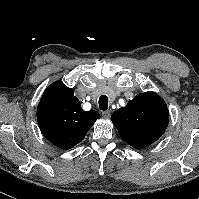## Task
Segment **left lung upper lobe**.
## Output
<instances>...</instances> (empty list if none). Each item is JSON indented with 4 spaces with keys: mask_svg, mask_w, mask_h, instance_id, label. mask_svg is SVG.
<instances>
[{
    "mask_svg": "<svg viewBox=\"0 0 199 199\" xmlns=\"http://www.w3.org/2000/svg\"><path fill=\"white\" fill-rule=\"evenodd\" d=\"M111 120L123 140L150 145L165 132L169 111L158 94L145 92L136 95L126 107L114 111Z\"/></svg>",
    "mask_w": 199,
    "mask_h": 199,
    "instance_id": "5c2ea615",
    "label": "left lung upper lobe"
}]
</instances>
